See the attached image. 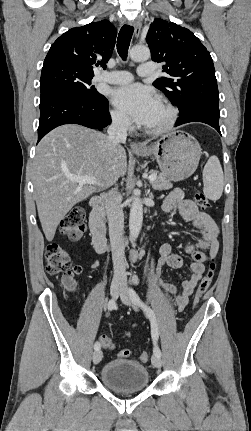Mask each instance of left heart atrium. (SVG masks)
Masks as SVG:
<instances>
[{
    "label": "left heart atrium",
    "mask_w": 251,
    "mask_h": 431,
    "mask_svg": "<svg viewBox=\"0 0 251 431\" xmlns=\"http://www.w3.org/2000/svg\"><path fill=\"white\" fill-rule=\"evenodd\" d=\"M113 104L136 122L146 124L159 103L157 96L140 84H129L114 90Z\"/></svg>",
    "instance_id": "1"
}]
</instances>
